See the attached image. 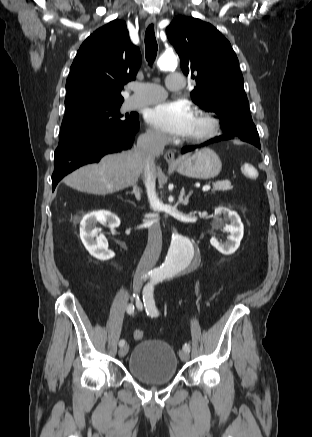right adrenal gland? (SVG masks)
<instances>
[{"label":"right adrenal gland","mask_w":312,"mask_h":437,"mask_svg":"<svg viewBox=\"0 0 312 437\" xmlns=\"http://www.w3.org/2000/svg\"><path fill=\"white\" fill-rule=\"evenodd\" d=\"M128 193L134 194L137 201H139L141 199L142 190H141V188L138 187V184H134L133 190L131 192H127V194Z\"/></svg>","instance_id":"obj_1"}]
</instances>
